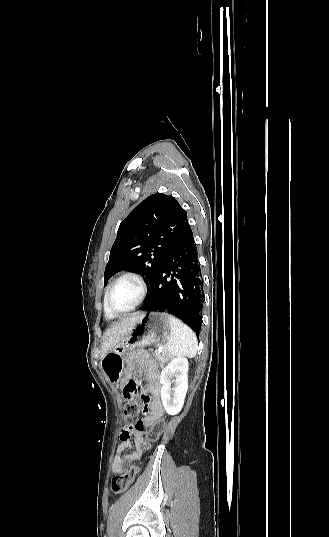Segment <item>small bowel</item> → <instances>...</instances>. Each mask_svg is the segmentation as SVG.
Returning <instances> with one entry per match:
<instances>
[{
  "mask_svg": "<svg viewBox=\"0 0 329 537\" xmlns=\"http://www.w3.org/2000/svg\"><path fill=\"white\" fill-rule=\"evenodd\" d=\"M127 367L129 376L132 379L123 384L120 396L124 400L129 399L131 396H137L144 389L143 384L138 379H146L145 391L150 394L151 400L148 407L145 408L149 411V414L145 417L144 423L151 426L159 421L164 413L160 400L161 383L157 365L147 353L135 352L129 356ZM120 439L121 443L116 449V456L112 464L113 472L117 474L123 473L125 466L129 462L139 459L142 455L141 443H143V438L141 431L124 428ZM133 443H135V450L129 452Z\"/></svg>",
  "mask_w": 329,
  "mask_h": 537,
  "instance_id": "1",
  "label": "small bowel"
}]
</instances>
